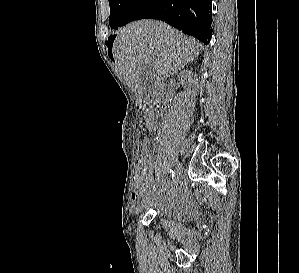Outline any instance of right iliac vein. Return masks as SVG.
Returning a JSON list of instances; mask_svg holds the SVG:
<instances>
[{"label": "right iliac vein", "mask_w": 299, "mask_h": 273, "mask_svg": "<svg viewBox=\"0 0 299 273\" xmlns=\"http://www.w3.org/2000/svg\"><path fill=\"white\" fill-rule=\"evenodd\" d=\"M181 173H182V167L181 165L179 164L176 168V171H175V175H174V179H173V182H172V185L173 186H176L177 183L179 182V179H180V176H181ZM145 207V200H143L135 209V214H139Z\"/></svg>", "instance_id": "right-iliac-vein-1"}]
</instances>
